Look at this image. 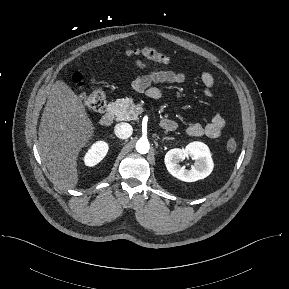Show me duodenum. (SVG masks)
<instances>
[{
    "label": "duodenum",
    "instance_id": "duodenum-1",
    "mask_svg": "<svg viewBox=\"0 0 289 289\" xmlns=\"http://www.w3.org/2000/svg\"><path fill=\"white\" fill-rule=\"evenodd\" d=\"M113 118H114V114L112 110H107L101 115L99 121L102 126H110L113 122ZM161 126L162 128L168 131H172L176 128L175 122L170 119H163L161 121Z\"/></svg>",
    "mask_w": 289,
    "mask_h": 289
}]
</instances>
